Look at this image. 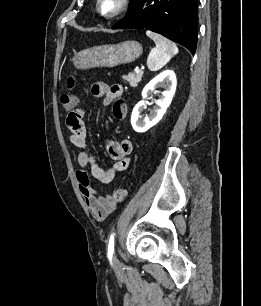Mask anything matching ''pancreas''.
<instances>
[{"mask_svg": "<svg viewBox=\"0 0 261 306\" xmlns=\"http://www.w3.org/2000/svg\"><path fill=\"white\" fill-rule=\"evenodd\" d=\"M143 72L139 73H129L128 75H123V79L129 82L130 86L135 87L142 80Z\"/></svg>", "mask_w": 261, "mask_h": 306, "instance_id": "obj_1", "label": "pancreas"}]
</instances>
